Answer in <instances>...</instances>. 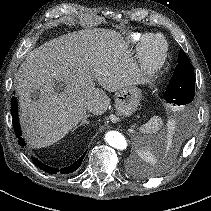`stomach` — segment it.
I'll return each mask as SVG.
<instances>
[{
  "mask_svg": "<svg viewBox=\"0 0 211 211\" xmlns=\"http://www.w3.org/2000/svg\"><path fill=\"white\" fill-rule=\"evenodd\" d=\"M141 91L136 86L124 87L116 93L115 107L119 115H131L139 105Z\"/></svg>",
  "mask_w": 211,
  "mask_h": 211,
  "instance_id": "1",
  "label": "stomach"
}]
</instances>
